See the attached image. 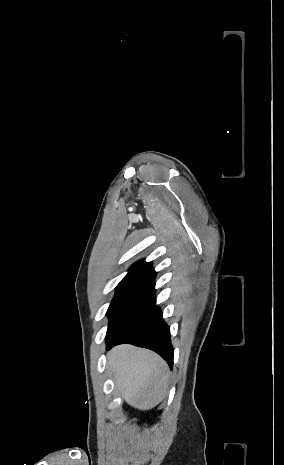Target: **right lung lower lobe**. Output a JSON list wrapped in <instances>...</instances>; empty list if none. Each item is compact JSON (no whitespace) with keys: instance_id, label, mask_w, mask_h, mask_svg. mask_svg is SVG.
I'll return each mask as SVG.
<instances>
[{"instance_id":"1","label":"right lung lower lobe","mask_w":284,"mask_h":465,"mask_svg":"<svg viewBox=\"0 0 284 465\" xmlns=\"http://www.w3.org/2000/svg\"><path fill=\"white\" fill-rule=\"evenodd\" d=\"M129 343L151 349L173 366L174 349L170 340V328L163 321L160 308L155 303L154 287L118 322L108 328L106 349Z\"/></svg>"}]
</instances>
